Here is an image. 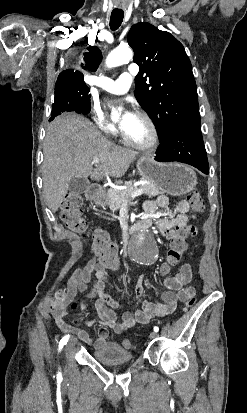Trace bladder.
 <instances>
[{
  "mask_svg": "<svg viewBox=\"0 0 247 413\" xmlns=\"http://www.w3.org/2000/svg\"><path fill=\"white\" fill-rule=\"evenodd\" d=\"M93 357L104 363L130 362L134 359V354L125 350L119 343L106 342L102 349L93 352Z\"/></svg>",
  "mask_w": 247,
  "mask_h": 413,
  "instance_id": "obj_1",
  "label": "bladder"
}]
</instances>
